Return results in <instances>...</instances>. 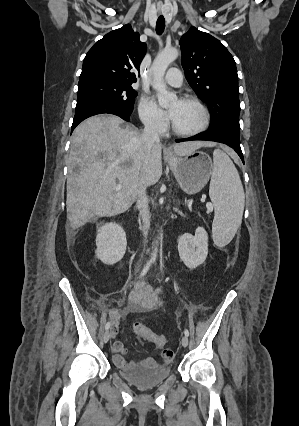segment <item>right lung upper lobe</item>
I'll return each mask as SVG.
<instances>
[{
    "mask_svg": "<svg viewBox=\"0 0 299 426\" xmlns=\"http://www.w3.org/2000/svg\"><path fill=\"white\" fill-rule=\"evenodd\" d=\"M139 37L131 25L126 24L97 41L84 58L78 85L135 83L146 50V44Z\"/></svg>",
    "mask_w": 299,
    "mask_h": 426,
    "instance_id": "cb5924a9",
    "label": "right lung upper lobe"
}]
</instances>
